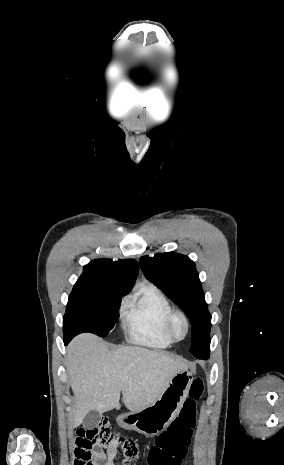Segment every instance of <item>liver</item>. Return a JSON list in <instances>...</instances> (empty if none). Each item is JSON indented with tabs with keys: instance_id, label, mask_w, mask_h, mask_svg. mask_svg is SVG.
Returning a JSON list of instances; mask_svg holds the SVG:
<instances>
[{
	"instance_id": "liver-1",
	"label": "liver",
	"mask_w": 284,
	"mask_h": 465,
	"mask_svg": "<svg viewBox=\"0 0 284 465\" xmlns=\"http://www.w3.org/2000/svg\"><path fill=\"white\" fill-rule=\"evenodd\" d=\"M66 365L76 407L72 429L80 427L90 411L102 415L120 409V393L132 413L146 409L165 391L174 375L188 369L185 359L165 351L142 347L109 351L108 343L90 333L71 341Z\"/></svg>"
}]
</instances>
